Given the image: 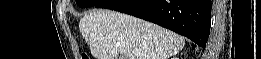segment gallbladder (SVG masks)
Returning <instances> with one entry per match:
<instances>
[{"label": "gallbladder", "instance_id": "bac80fb5", "mask_svg": "<svg viewBox=\"0 0 261 59\" xmlns=\"http://www.w3.org/2000/svg\"><path fill=\"white\" fill-rule=\"evenodd\" d=\"M120 59H125V57L124 56H121V57H119Z\"/></svg>", "mask_w": 261, "mask_h": 59}]
</instances>
